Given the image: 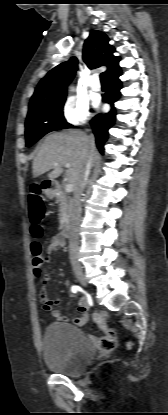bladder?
<instances>
[{
  "instance_id": "obj_1",
  "label": "bladder",
  "mask_w": 168,
  "mask_h": 415,
  "mask_svg": "<svg viewBox=\"0 0 168 415\" xmlns=\"http://www.w3.org/2000/svg\"><path fill=\"white\" fill-rule=\"evenodd\" d=\"M43 358L55 373L78 376L92 363L96 350L86 334L67 323L49 324L42 338Z\"/></svg>"
}]
</instances>
